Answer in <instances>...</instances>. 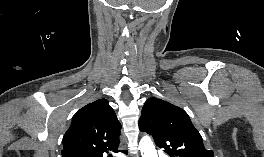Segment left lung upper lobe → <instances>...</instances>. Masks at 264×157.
<instances>
[{
    "label": "left lung upper lobe",
    "mask_w": 264,
    "mask_h": 157,
    "mask_svg": "<svg viewBox=\"0 0 264 157\" xmlns=\"http://www.w3.org/2000/svg\"><path fill=\"white\" fill-rule=\"evenodd\" d=\"M139 128L150 134L155 144L170 157H214L181 108L158 98H149L139 119Z\"/></svg>",
    "instance_id": "obj_1"
}]
</instances>
